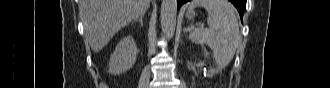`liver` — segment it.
<instances>
[{"mask_svg":"<svg viewBox=\"0 0 330 88\" xmlns=\"http://www.w3.org/2000/svg\"><path fill=\"white\" fill-rule=\"evenodd\" d=\"M150 0H81L85 38L99 52L120 29L143 16Z\"/></svg>","mask_w":330,"mask_h":88,"instance_id":"1","label":"liver"}]
</instances>
